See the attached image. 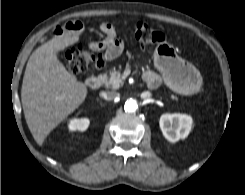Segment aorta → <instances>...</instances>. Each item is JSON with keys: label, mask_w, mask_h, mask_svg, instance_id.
<instances>
[{"label": "aorta", "mask_w": 245, "mask_h": 195, "mask_svg": "<svg viewBox=\"0 0 245 195\" xmlns=\"http://www.w3.org/2000/svg\"><path fill=\"white\" fill-rule=\"evenodd\" d=\"M138 108V104L136 100L134 99H129L125 102L124 109L127 112H135Z\"/></svg>", "instance_id": "aorta-1"}]
</instances>
